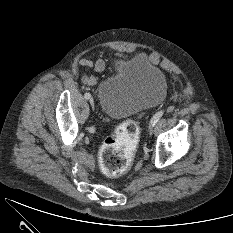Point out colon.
Wrapping results in <instances>:
<instances>
[{
  "instance_id": "colon-1",
  "label": "colon",
  "mask_w": 233,
  "mask_h": 233,
  "mask_svg": "<svg viewBox=\"0 0 233 233\" xmlns=\"http://www.w3.org/2000/svg\"><path fill=\"white\" fill-rule=\"evenodd\" d=\"M138 138L137 123L126 120L118 125L114 134L103 142L99 151V166L105 176L118 178L127 172Z\"/></svg>"
}]
</instances>
